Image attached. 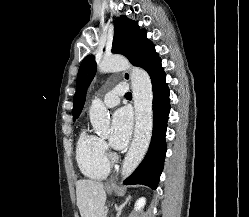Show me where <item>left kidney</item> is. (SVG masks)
Here are the masks:
<instances>
[{"instance_id":"left-kidney-1","label":"left kidney","mask_w":249,"mask_h":217,"mask_svg":"<svg viewBox=\"0 0 249 217\" xmlns=\"http://www.w3.org/2000/svg\"><path fill=\"white\" fill-rule=\"evenodd\" d=\"M145 203L146 199L144 197L139 198L135 203V210H141L145 206Z\"/></svg>"}]
</instances>
